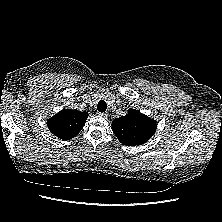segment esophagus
<instances>
[{
    "mask_svg": "<svg viewBox=\"0 0 222 222\" xmlns=\"http://www.w3.org/2000/svg\"><path fill=\"white\" fill-rule=\"evenodd\" d=\"M99 116H101L103 118H107L108 117V113L107 112H100Z\"/></svg>",
    "mask_w": 222,
    "mask_h": 222,
    "instance_id": "1",
    "label": "esophagus"
}]
</instances>
